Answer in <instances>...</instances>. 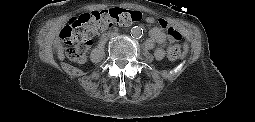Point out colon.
<instances>
[{"label": "colon", "mask_w": 255, "mask_h": 122, "mask_svg": "<svg viewBox=\"0 0 255 122\" xmlns=\"http://www.w3.org/2000/svg\"><path fill=\"white\" fill-rule=\"evenodd\" d=\"M142 17L143 15L139 11L112 8L92 11L72 19L60 34L62 41L66 44L68 58L78 63L84 62L91 45V38L101 29L115 25H129L139 22ZM160 25L167 29V34L170 37V42L166 48V58L174 61L178 59L181 53L179 44L181 35L164 22H160Z\"/></svg>", "instance_id": "5ec220e1"}]
</instances>
